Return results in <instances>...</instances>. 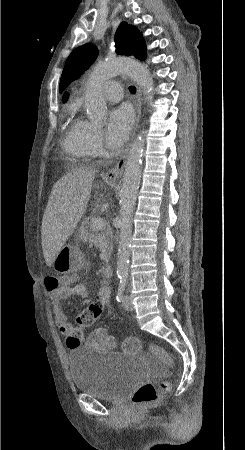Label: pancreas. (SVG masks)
Instances as JSON below:
<instances>
[{
	"instance_id": "pancreas-1",
	"label": "pancreas",
	"mask_w": 245,
	"mask_h": 450,
	"mask_svg": "<svg viewBox=\"0 0 245 450\" xmlns=\"http://www.w3.org/2000/svg\"><path fill=\"white\" fill-rule=\"evenodd\" d=\"M94 219L93 216L85 217L78 229V234L83 241H89L90 243L96 238L101 251V260L108 261L113 249L111 228L104 227L98 233L94 234L92 228Z\"/></svg>"
}]
</instances>
